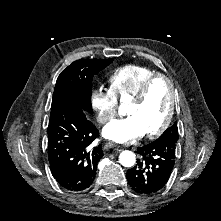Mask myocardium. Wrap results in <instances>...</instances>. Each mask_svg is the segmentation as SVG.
Instances as JSON below:
<instances>
[{
  "label": "myocardium",
  "mask_w": 221,
  "mask_h": 221,
  "mask_svg": "<svg viewBox=\"0 0 221 221\" xmlns=\"http://www.w3.org/2000/svg\"><path fill=\"white\" fill-rule=\"evenodd\" d=\"M159 80L165 81L168 86L169 93H170L169 108H168L166 117H165L164 121L161 123V125L157 129H155L154 131H151V132L145 134V137H147L149 139H154V138L160 136L161 134H163L172 121L174 111H175V105H176V92H175L173 82L169 76L161 74V73H157V74L149 77L148 79H146L144 81L143 85L140 87L139 91L132 98L133 104H135V105L142 104L145 101V99L148 95V92L151 89V87L153 86V84Z\"/></svg>",
  "instance_id": "f54148a6"
}]
</instances>
